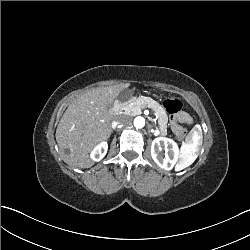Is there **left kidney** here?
Masks as SVG:
<instances>
[{
	"label": "left kidney",
	"mask_w": 250,
	"mask_h": 250,
	"mask_svg": "<svg viewBox=\"0 0 250 250\" xmlns=\"http://www.w3.org/2000/svg\"><path fill=\"white\" fill-rule=\"evenodd\" d=\"M163 145L167 149L166 157L162 155ZM151 155L158 166L171 171L180 159L181 151L175 140L166 137H158L152 141Z\"/></svg>",
	"instance_id": "1"
}]
</instances>
